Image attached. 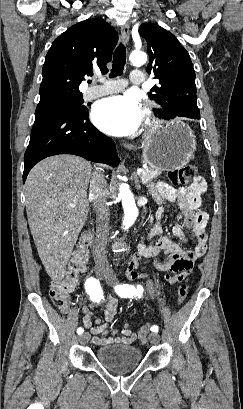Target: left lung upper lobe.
I'll list each match as a JSON object with an SVG mask.
<instances>
[{"mask_svg": "<svg viewBox=\"0 0 243 409\" xmlns=\"http://www.w3.org/2000/svg\"><path fill=\"white\" fill-rule=\"evenodd\" d=\"M147 41L149 64L147 72L154 73L160 86H154L149 96L163 108L158 116L169 119L174 113L199 114L196 98L195 72L186 49L177 38L154 23L139 27Z\"/></svg>", "mask_w": 243, "mask_h": 409, "instance_id": "1", "label": "left lung upper lobe"}]
</instances>
